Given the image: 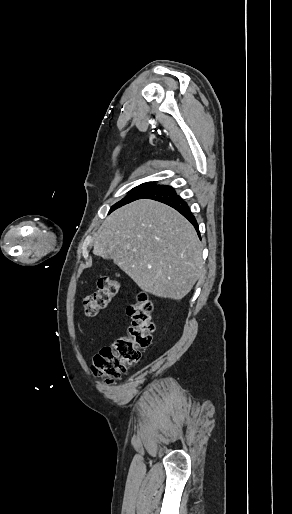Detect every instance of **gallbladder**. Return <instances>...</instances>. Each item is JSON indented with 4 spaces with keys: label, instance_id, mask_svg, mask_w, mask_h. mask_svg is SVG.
Segmentation results:
<instances>
[{
    "label": "gallbladder",
    "instance_id": "gallbladder-1",
    "mask_svg": "<svg viewBox=\"0 0 292 514\" xmlns=\"http://www.w3.org/2000/svg\"><path fill=\"white\" fill-rule=\"evenodd\" d=\"M104 260H111L109 254H106V256H104Z\"/></svg>",
    "mask_w": 292,
    "mask_h": 514
}]
</instances>
